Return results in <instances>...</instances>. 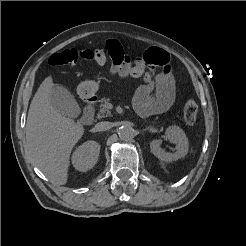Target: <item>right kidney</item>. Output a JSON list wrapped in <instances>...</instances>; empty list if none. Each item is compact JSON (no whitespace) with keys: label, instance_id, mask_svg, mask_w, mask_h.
<instances>
[{"label":"right kidney","instance_id":"ca27d5eb","mask_svg":"<svg viewBox=\"0 0 246 246\" xmlns=\"http://www.w3.org/2000/svg\"><path fill=\"white\" fill-rule=\"evenodd\" d=\"M100 145L95 141H87L80 145L72 155V164L76 170L86 172L97 163Z\"/></svg>","mask_w":246,"mask_h":246}]
</instances>
